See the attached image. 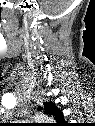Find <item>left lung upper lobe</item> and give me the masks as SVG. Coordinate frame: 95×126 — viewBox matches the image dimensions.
<instances>
[{"label": "left lung upper lobe", "mask_w": 95, "mask_h": 126, "mask_svg": "<svg viewBox=\"0 0 95 126\" xmlns=\"http://www.w3.org/2000/svg\"><path fill=\"white\" fill-rule=\"evenodd\" d=\"M42 109L41 107L39 108ZM44 113L52 116L58 124L64 122V116L60 109H58L53 102H44Z\"/></svg>", "instance_id": "left-lung-upper-lobe-1"}]
</instances>
